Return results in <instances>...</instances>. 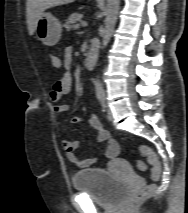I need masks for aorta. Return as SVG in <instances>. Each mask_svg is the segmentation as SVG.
<instances>
[{
  "mask_svg": "<svg viewBox=\"0 0 188 213\" xmlns=\"http://www.w3.org/2000/svg\"><path fill=\"white\" fill-rule=\"evenodd\" d=\"M118 11H119V0H108L106 4V18H105V29L102 41V48H105L110 41L117 20ZM94 85L97 97H104L105 92L102 83L99 81L98 78L95 79Z\"/></svg>",
  "mask_w": 188,
  "mask_h": 213,
  "instance_id": "762f6f07",
  "label": "aorta"
}]
</instances>
